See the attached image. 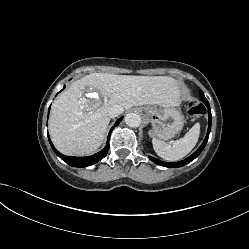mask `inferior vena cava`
<instances>
[{"label":"inferior vena cava","instance_id":"inferior-vena-cava-1","mask_svg":"<svg viewBox=\"0 0 249 249\" xmlns=\"http://www.w3.org/2000/svg\"><path fill=\"white\" fill-rule=\"evenodd\" d=\"M124 111L123 107L120 105H115L112 106L109 111H108V115L110 118H115L117 116H119L120 114H122Z\"/></svg>","mask_w":249,"mask_h":249}]
</instances>
